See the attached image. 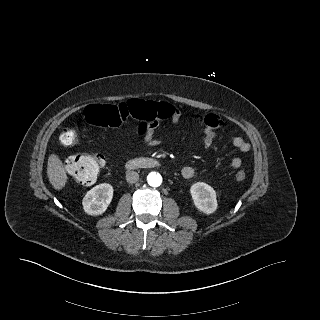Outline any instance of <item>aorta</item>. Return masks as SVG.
<instances>
[{
  "label": "aorta",
  "instance_id": "obj_1",
  "mask_svg": "<svg viewBox=\"0 0 320 320\" xmlns=\"http://www.w3.org/2000/svg\"><path fill=\"white\" fill-rule=\"evenodd\" d=\"M148 184L152 187H158L162 184V176L157 172H151L147 176Z\"/></svg>",
  "mask_w": 320,
  "mask_h": 320
}]
</instances>
